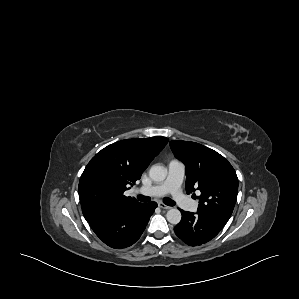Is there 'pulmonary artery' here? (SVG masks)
<instances>
[{
  "mask_svg": "<svg viewBox=\"0 0 299 299\" xmlns=\"http://www.w3.org/2000/svg\"><path fill=\"white\" fill-rule=\"evenodd\" d=\"M184 175V164L178 160H172L168 164L167 178L163 183L150 187H141L137 191L148 196L170 194L182 208L194 211L197 208V203L189 200L181 190Z\"/></svg>",
  "mask_w": 299,
  "mask_h": 299,
  "instance_id": "1",
  "label": "pulmonary artery"
}]
</instances>
